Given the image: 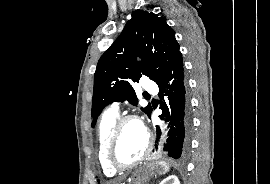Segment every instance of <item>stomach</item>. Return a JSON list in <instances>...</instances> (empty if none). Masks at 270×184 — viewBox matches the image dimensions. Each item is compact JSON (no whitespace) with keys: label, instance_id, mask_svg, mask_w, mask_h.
<instances>
[{"label":"stomach","instance_id":"obj_1","mask_svg":"<svg viewBox=\"0 0 270 184\" xmlns=\"http://www.w3.org/2000/svg\"><path fill=\"white\" fill-rule=\"evenodd\" d=\"M153 169H156L157 173L161 175L169 170V165L165 162H159L156 165L153 163H146L143 167L137 169L132 174L130 184H145V182L152 176Z\"/></svg>","mask_w":270,"mask_h":184}]
</instances>
